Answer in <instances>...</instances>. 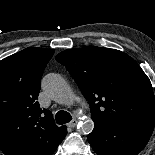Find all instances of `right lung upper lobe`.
<instances>
[{
	"label": "right lung upper lobe",
	"mask_w": 155,
	"mask_h": 155,
	"mask_svg": "<svg viewBox=\"0 0 155 155\" xmlns=\"http://www.w3.org/2000/svg\"><path fill=\"white\" fill-rule=\"evenodd\" d=\"M53 54L34 47L0 61V150L5 155H51L67 134L36 101Z\"/></svg>",
	"instance_id": "1"
}]
</instances>
